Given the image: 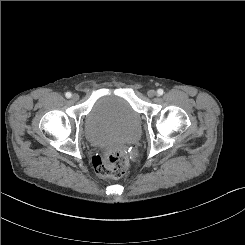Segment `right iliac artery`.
I'll return each mask as SVG.
<instances>
[{"label":"right iliac artery","mask_w":245,"mask_h":245,"mask_svg":"<svg viewBox=\"0 0 245 245\" xmlns=\"http://www.w3.org/2000/svg\"><path fill=\"white\" fill-rule=\"evenodd\" d=\"M65 96H66L67 98H70V97L72 96V94H71L70 92H67V93L65 94Z\"/></svg>","instance_id":"1"}]
</instances>
